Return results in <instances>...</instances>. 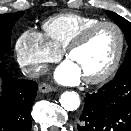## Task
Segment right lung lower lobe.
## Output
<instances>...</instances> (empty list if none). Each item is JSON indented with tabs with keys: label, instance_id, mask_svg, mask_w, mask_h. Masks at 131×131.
Returning <instances> with one entry per match:
<instances>
[{
	"label": "right lung lower lobe",
	"instance_id": "obj_1",
	"mask_svg": "<svg viewBox=\"0 0 131 131\" xmlns=\"http://www.w3.org/2000/svg\"><path fill=\"white\" fill-rule=\"evenodd\" d=\"M0 76V131H30V112L37 95V83L8 76L4 67L0 68Z\"/></svg>",
	"mask_w": 131,
	"mask_h": 131
}]
</instances>
